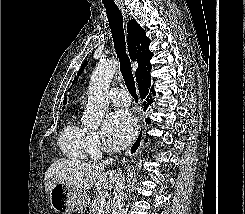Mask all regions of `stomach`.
<instances>
[{
    "mask_svg": "<svg viewBox=\"0 0 245 214\" xmlns=\"http://www.w3.org/2000/svg\"><path fill=\"white\" fill-rule=\"evenodd\" d=\"M51 207L62 214L82 210L87 207L89 197L85 190L76 189L71 186L56 183L50 191Z\"/></svg>",
    "mask_w": 245,
    "mask_h": 214,
    "instance_id": "0dacf381",
    "label": "stomach"
}]
</instances>
